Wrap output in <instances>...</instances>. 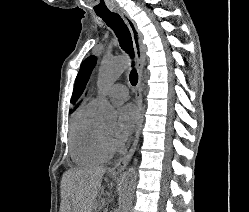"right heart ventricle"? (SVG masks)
<instances>
[{"label": "right heart ventricle", "mask_w": 249, "mask_h": 212, "mask_svg": "<svg viewBox=\"0 0 249 212\" xmlns=\"http://www.w3.org/2000/svg\"><path fill=\"white\" fill-rule=\"evenodd\" d=\"M96 104H82L72 117L69 132V153L77 165H96L103 163L107 156L103 151L98 126L94 121Z\"/></svg>", "instance_id": "e07e8e85"}]
</instances>
